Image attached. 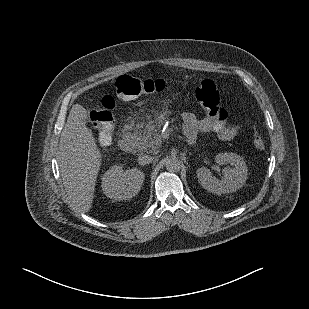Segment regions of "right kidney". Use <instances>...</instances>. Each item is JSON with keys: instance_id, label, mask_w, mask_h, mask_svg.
I'll return each instance as SVG.
<instances>
[{"instance_id": "ca27d5eb", "label": "right kidney", "mask_w": 309, "mask_h": 309, "mask_svg": "<svg viewBox=\"0 0 309 309\" xmlns=\"http://www.w3.org/2000/svg\"><path fill=\"white\" fill-rule=\"evenodd\" d=\"M145 179L141 170L124 171L119 164L111 166L101 178L103 193L115 200H126L138 194Z\"/></svg>"}]
</instances>
